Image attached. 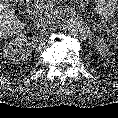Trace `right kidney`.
<instances>
[{"instance_id": "right-kidney-1", "label": "right kidney", "mask_w": 118, "mask_h": 118, "mask_svg": "<svg viewBox=\"0 0 118 118\" xmlns=\"http://www.w3.org/2000/svg\"><path fill=\"white\" fill-rule=\"evenodd\" d=\"M34 49V42L23 34L16 36L3 48V56L15 63L26 60Z\"/></svg>"}]
</instances>
